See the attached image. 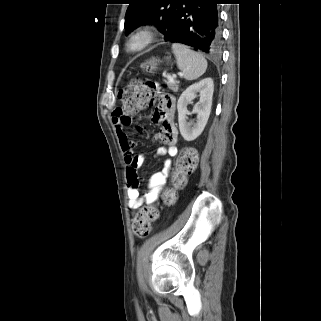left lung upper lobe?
Wrapping results in <instances>:
<instances>
[{"mask_svg":"<svg viewBox=\"0 0 321 321\" xmlns=\"http://www.w3.org/2000/svg\"><path fill=\"white\" fill-rule=\"evenodd\" d=\"M180 0H129L125 15V34L142 24H154L165 34Z\"/></svg>","mask_w":321,"mask_h":321,"instance_id":"obj_1","label":"left lung upper lobe"}]
</instances>
